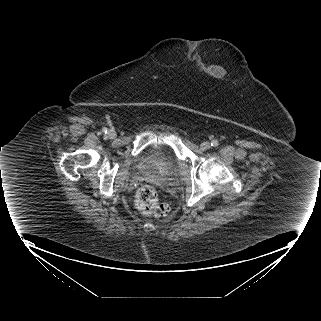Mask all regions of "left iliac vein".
Listing matches in <instances>:
<instances>
[{"label": "left iliac vein", "mask_w": 321, "mask_h": 321, "mask_svg": "<svg viewBox=\"0 0 321 321\" xmlns=\"http://www.w3.org/2000/svg\"><path fill=\"white\" fill-rule=\"evenodd\" d=\"M200 147H201L202 150H207V149H209L211 147V145H210L209 142L204 141V142L201 143Z\"/></svg>", "instance_id": "obj_1"}]
</instances>
